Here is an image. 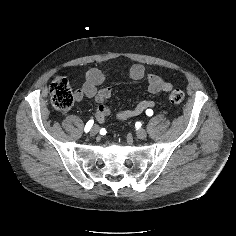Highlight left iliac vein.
<instances>
[{
	"instance_id": "obj_1",
	"label": "left iliac vein",
	"mask_w": 236,
	"mask_h": 236,
	"mask_svg": "<svg viewBox=\"0 0 236 236\" xmlns=\"http://www.w3.org/2000/svg\"><path fill=\"white\" fill-rule=\"evenodd\" d=\"M136 136L139 139H145L147 137V132L144 129L140 128L136 130Z\"/></svg>"
}]
</instances>
